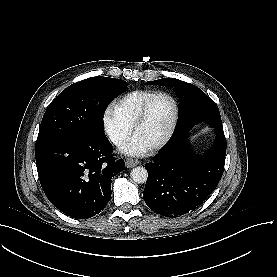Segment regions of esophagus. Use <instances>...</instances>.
<instances>
[{
	"mask_svg": "<svg viewBox=\"0 0 277 277\" xmlns=\"http://www.w3.org/2000/svg\"><path fill=\"white\" fill-rule=\"evenodd\" d=\"M125 164H126L127 168H132V167L140 164V162L138 160L128 159Z\"/></svg>",
	"mask_w": 277,
	"mask_h": 277,
	"instance_id": "34e87169",
	"label": "esophagus"
}]
</instances>
